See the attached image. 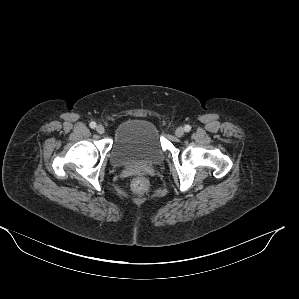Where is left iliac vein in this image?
<instances>
[{"mask_svg": "<svg viewBox=\"0 0 299 299\" xmlns=\"http://www.w3.org/2000/svg\"><path fill=\"white\" fill-rule=\"evenodd\" d=\"M184 129L182 128V127H178L177 129H176V131H175V134H176V136L177 137H181V136H183L184 135Z\"/></svg>", "mask_w": 299, "mask_h": 299, "instance_id": "left-iliac-vein-1", "label": "left iliac vein"}]
</instances>
